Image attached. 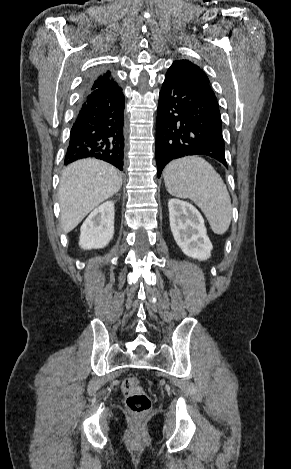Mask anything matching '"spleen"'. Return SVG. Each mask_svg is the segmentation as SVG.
<instances>
[{
    "label": "spleen",
    "instance_id": "spleen-1",
    "mask_svg": "<svg viewBox=\"0 0 291 469\" xmlns=\"http://www.w3.org/2000/svg\"><path fill=\"white\" fill-rule=\"evenodd\" d=\"M163 177L171 195L189 198L202 210L215 234L228 230L232 219L230 195L211 164L199 156L181 158L165 167Z\"/></svg>",
    "mask_w": 291,
    "mask_h": 469
}]
</instances>
